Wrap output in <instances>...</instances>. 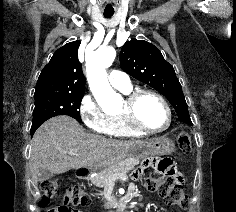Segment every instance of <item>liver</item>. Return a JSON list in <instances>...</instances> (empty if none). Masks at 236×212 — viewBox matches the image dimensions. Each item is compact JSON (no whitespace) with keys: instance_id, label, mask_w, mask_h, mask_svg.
I'll return each mask as SVG.
<instances>
[{"instance_id":"6515ba94","label":"liver","mask_w":236,"mask_h":212,"mask_svg":"<svg viewBox=\"0 0 236 212\" xmlns=\"http://www.w3.org/2000/svg\"><path fill=\"white\" fill-rule=\"evenodd\" d=\"M142 142L107 139L87 133L69 116L53 117L37 129L32 139V181L37 183L40 169L61 174L71 169L99 167L108 159L125 155ZM70 150H76L78 155L68 154Z\"/></svg>"}]
</instances>
